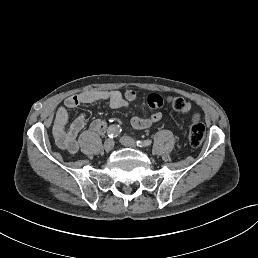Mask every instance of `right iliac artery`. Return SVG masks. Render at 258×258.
Instances as JSON below:
<instances>
[{"label": "right iliac artery", "mask_w": 258, "mask_h": 258, "mask_svg": "<svg viewBox=\"0 0 258 258\" xmlns=\"http://www.w3.org/2000/svg\"><path fill=\"white\" fill-rule=\"evenodd\" d=\"M122 131L119 125H111L107 130V136L111 139L117 137Z\"/></svg>", "instance_id": "1"}]
</instances>
